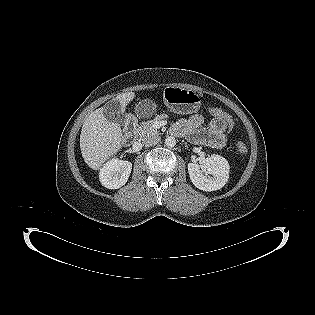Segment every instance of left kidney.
Segmentation results:
<instances>
[{
  "label": "left kidney",
  "mask_w": 315,
  "mask_h": 315,
  "mask_svg": "<svg viewBox=\"0 0 315 315\" xmlns=\"http://www.w3.org/2000/svg\"><path fill=\"white\" fill-rule=\"evenodd\" d=\"M188 173L195 187L203 191H216L224 187L229 178L228 161L220 155H211L202 165L188 163Z\"/></svg>",
  "instance_id": "left-kidney-1"
}]
</instances>
